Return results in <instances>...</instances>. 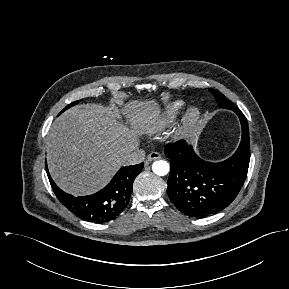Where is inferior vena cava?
Returning <instances> with one entry per match:
<instances>
[{
	"instance_id": "602c4592",
	"label": "inferior vena cava",
	"mask_w": 289,
	"mask_h": 289,
	"mask_svg": "<svg viewBox=\"0 0 289 289\" xmlns=\"http://www.w3.org/2000/svg\"><path fill=\"white\" fill-rule=\"evenodd\" d=\"M145 159V151L143 149H136L133 152L124 156L126 165H135L143 162Z\"/></svg>"
}]
</instances>
